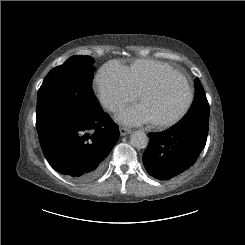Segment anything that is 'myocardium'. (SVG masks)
Wrapping results in <instances>:
<instances>
[{
    "label": "myocardium",
    "instance_id": "myocardium-1",
    "mask_svg": "<svg viewBox=\"0 0 245 245\" xmlns=\"http://www.w3.org/2000/svg\"><path fill=\"white\" fill-rule=\"evenodd\" d=\"M169 76H178L184 80V82L187 86L188 92H189V98H188V101H187L186 105L184 106V108L175 116H173L169 119H166V120L151 121L152 124L159 129L169 128V127L177 124L179 121H181L186 116V114L189 112V110L191 109L193 102H194V98H195L194 89L192 87V84H191L189 78L186 75H184L182 72H180L176 69H171V70H168L164 73H161L152 84H150L149 86L144 88L139 93V100L141 101L145 96L158 91L160 86H161L162 81Z\"/></svg>",
    "mask_w": 245,
    "mask_h": 245
}]
</instances>
